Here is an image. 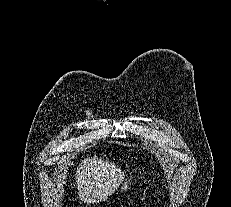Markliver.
<instances>
[{
  "instance_id": "obj_1",
  "label": "liver",
  "mask_w": 231,
  "mask_h": 207,
  "mask_svg": "<svg viewBox=\"0 0 231 207\" xmlns=\"http://www.w3.org/2000/svg\"><path fill=\"white\" fill-rule=\"evenodd\" d=\"M124 173L114 163L85 158L76 168L75 179L80 199L88 204L99 203L114 193L124 181Z\"/></svg>"
}]
</instances>
